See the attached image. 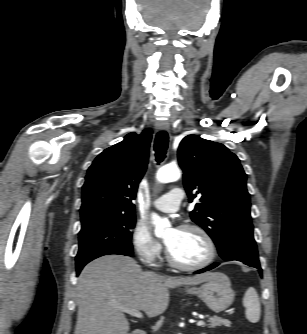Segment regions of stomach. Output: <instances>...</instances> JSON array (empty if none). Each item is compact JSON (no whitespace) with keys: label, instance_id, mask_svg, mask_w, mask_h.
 <instances>
[{"label":"stomach","instance_id":"stomach-1","mask_svg":"<svg viewBox=\"0 0 307 334\" xmlns=\"http://www.w3.org/2000/svg\"><path fill=\"white\" fill-rule=\"evenodd\" d=\"M190 295L198 296L212 311L219 313L227 309L234 301L235 293L229 278L219 272L199 287L186 289Z\"/></svg>","mask_w":307,"mask_h":334}]
</instances>
